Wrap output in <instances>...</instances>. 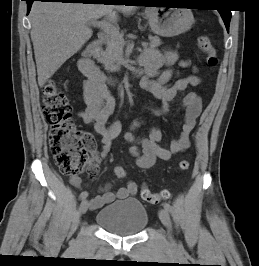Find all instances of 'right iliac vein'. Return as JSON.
Here are the masks:
<instances>
[{
	"instance_id": "right-iliac-vein-1",
	"label": "right iliac vein",
	"mask_w": 259,
	"mask_h": 266,
	"mask_svg": "<svg viewBox=\"0 0 259 266\" xmlns=\"http://www.w3.org/2000/svg\"><path fill=\"white\" fill-rule=\"evenodd\" d=\"M88 206H89L88 201H87V200H83V201L81 202V204H80V208H79L80 213H81V214H85V213L87 212V210H88Z\"/></svg>"
}]
</instances>
